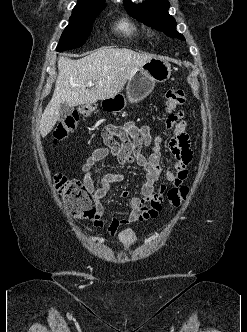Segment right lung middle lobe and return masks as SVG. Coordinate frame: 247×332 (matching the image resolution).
Wrapping results in <instances>:
<instances>
[{"label":"right lung middle lobe","mask_w":247,"mask_h":332,"mask_svg":"<svg viewBox=\"0 0 247 332\" xmlns=\"http://www.w3.org/2000/svg\"><path fill=\"white\" fill-rule=\"evenodd\" d=\"M106 7L74 8L56 48L58 52L81 47L92 30V24L99 13Z\"/></svg>","instance_id":"dd1d6c3e"}]
</instances>
